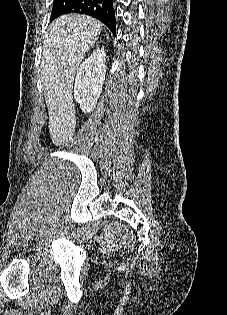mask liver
<instances>
[{
	"mask_svg": "<svg viewBox=\"0 0 227 315\" xmlns=\"http://www.w3.org/2000/svg\"><path fill=\"white\" fill-rule=\"evenodd\" d=\"M101 30V22L76 13L63 15L49 26L43 46L41 79L49 113V133L57 146L74 136V77Z\"/></svg>",
	"mask_w": 227,
	"mask_h": 315,
	"instance_id": "6515ba94",
	"label": "liver"
}]
</instances>
